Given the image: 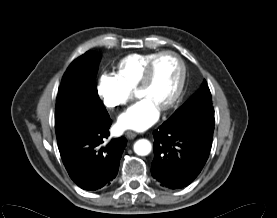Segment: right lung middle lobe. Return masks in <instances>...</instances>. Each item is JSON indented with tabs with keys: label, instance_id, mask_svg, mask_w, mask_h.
<instances>
[{
	"label": "right lung middle lobe",
	"instance_id": "dd1d6c3e",
	"mask_svg": "<svg viewBox=\"0 0 277 218\" xmlns=\"http://www.w3.org/2000/svg\"><path fill=\"white\" fill-rule=\"evenodd\" d=\"M99 55L86 52L70 64L62 78L55 108L59 149L108 117L96 90Z\"/></svg>",
	"mask_w": 277,
	"mask_h": 218
}]
</instances>
